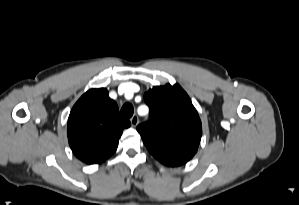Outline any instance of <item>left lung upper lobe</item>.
<instances>
[{
	"instance_id": "1",
	"label": "left lung upper lobe",
	"mask_w": 299,
	"mask_h": 205,
	"mask_svg": "<svg viewBox=\"0 0 299 205\" xmlns=\"http://www.w3.org/2000/svg\"><path fill=\"white\" fill-rule=\"evenodd\" d=\"M150 120L138 125L137 131L146 145L199 146L202 125L189 96L178 85L156 86L144 94Z\"/></svg>"
}]
</instances>
